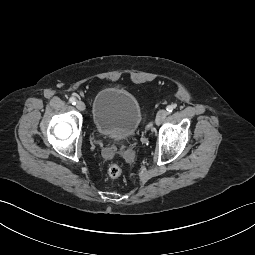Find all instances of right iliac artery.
I'll use <instances>...</instances> for the list:
<instances>
[{
	"label": "right iliac artery",
	"mask_w": 255,
	"mask_h": 255,
	"mask_svg": "<svg viewBox=\"0 0 255 255\" xmlns=\"http://www.w3.org/2000/svg\"><path fill=\"white\" fill-rule=\"evenodd\" d=\"M69 102L72 104V105H75L76 104V99L74 97H71L69 99Z\"/></svg>",
	"instance_id": "obj_1"
}]
</instances>
